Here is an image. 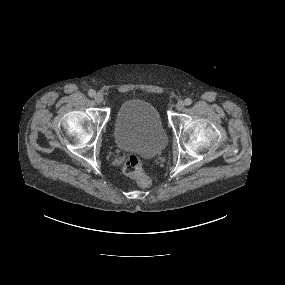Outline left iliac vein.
<instances>
[{"label":"left iliac vein","mask_w":285,"mask_h":285,"mask_svg":"<svg viewBox=\"0 0 285 285\" xmlns=\"http://www.w3.org/2000/svg\"><path fill=\"white\" fill-rule=\"evenodd\" d=\"M184 106H185V103L180 100V101H178L177 104H176V109H177L178 111H181V110L184 108Z\"/></svg>","instance_id":"obj_1"}]
</instances>
